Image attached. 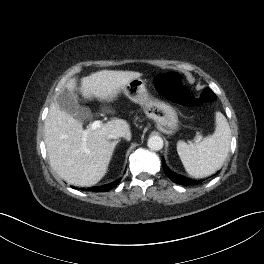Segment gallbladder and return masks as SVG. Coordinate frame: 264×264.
Instances as JSON below:
<instances>
[{
    "label": "gallbladder",
    "instance_id": "1",
    "mask_svg": "<svg viewBox=\"0 0 264 264\" xmlns=\"http://www.w3.org/2000/svg\"><path fill=\"white\" fill-rule=\"evenodd\" d=\"M56 103L60 109L79 121H83L91 116L88 107L80 106L73 92L68 89H62L56 98Z\"/></svg>",
    "mask_w": 264,
    "mask_h": 264
}]
</instances>
